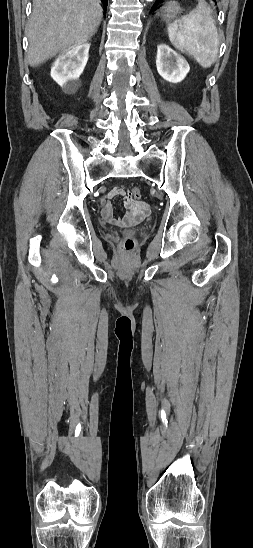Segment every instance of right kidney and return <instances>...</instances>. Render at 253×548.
<instances>
[{
    "instance_id": "1",
    "label": "right kidney",
    "mask_w": 253,
    "mask_h": 548,
    "mask_svg": "<svg viewBox=\"0 0 253 548\" xmlns=\"http://www.w3.org/2000/svg\"><path fill=\"white\" fill-rule=\"evenodd\" d=\"M90 44H76L59 54L51 68V77L67 92H75L79 77L88 61Z\"/></svg>"
}]
</instances>
